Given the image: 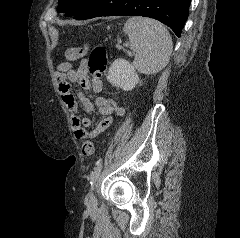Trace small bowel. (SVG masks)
Returning a JSON list of instances; mask_svg holds the SVG:
<instances>
[{"mask_svg":"<svg viewBox=\"0 0 240 238\" xmlns=\"http://www.w3.org/2000/svg\"><path fill=\"white\" fill-rule=\"evenodd\" d=\"M56 81L58 84L59 93L63 102L72 112L71 123L75 136L78 139L84 138L87 134L85 128L90 127L92 121L86 116H82L78 110V104L75 96L70 91L69 82L78 83L82 89H93L95 93H100L103 89L101 80L90 79L88 75L87 61L83 60L79 66L74 69L70 63L63 62L57 66ZM83 110L87 113L92 112L97 107L98 112L103 116V119L92 132L93 136L107 129L112 121L113 115L121 116L124 114V107L118 105L113 99L97 96L94 101L87 98L83 93L78 94Z\"/></svg>","mask_w":240,"mask_h":238,"instance_id":"c3829d8e","label":"small bowel"}]
</instances>
